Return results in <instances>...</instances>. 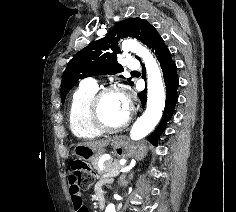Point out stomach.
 <instances>
[{
	"label": "stomach",
	"mask_w": 236,
	"mask_h": 212,
	"mask_svg": "<svg viewBox=\"0 0 236 212\" xmlns=\"http://www.w3.org/2000/svg\"><path fill=\"white\" fill-rule=\"evenodd\" d=\"M111 146L114 152L120 157H137L141 158L145 153V146L143 144H130L124 137L115 136L111 140ZM104 153L103 149L94 150L85 145H77L73 150V155L77 158L91 162L99 158Z\"/></svg>",
	"instance_id": "1"
}]
</instances>
